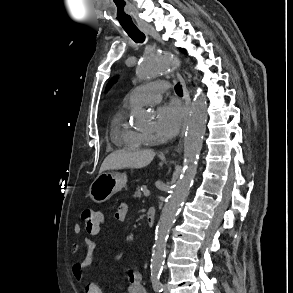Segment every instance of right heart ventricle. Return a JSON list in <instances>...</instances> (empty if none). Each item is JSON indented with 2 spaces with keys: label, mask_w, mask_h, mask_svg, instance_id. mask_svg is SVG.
<instances>
[{
  "label": "right heart ventricle",
  "mask_w": 293,
  "mask_h": 293,
  "mask_svg": "<svg viewBox=\"0 0 293 293\" xmlns=\"http://www.w3.org/2000/svg\"><path fill=\"white\" fill-rule=\"evenodd\" d=\"M111 135L114 142L124 149H138L149 144L145 134L128 126L123 112L115 115L112 121Z\"/></svg>",
  "instance_id": "1"
}]
</instances>
